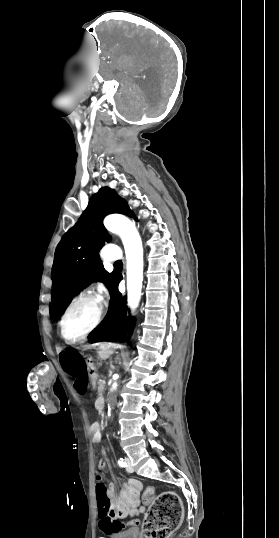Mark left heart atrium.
<instances>
[{
	"mask_svg": "<svg viewBox=\"0 0 279 538\" xmlns=\"http://www.w3.org/2000/svg\"><path fill=\"white\" fill-rule=\"evenodd\" d=\"M101 292H102V293H105V289L102 288V289H101Z\"/></svg>",
	"mask_w": 279,
	"mask_h": 538,
	"instance_id": "39dd6f15",
	"label": "left heart atrium"
}]
</instances>
